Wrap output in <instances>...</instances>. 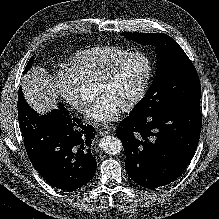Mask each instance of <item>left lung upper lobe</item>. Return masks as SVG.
<instances>
[{"label":"left lung upper lobe","mask_w":219,"mask_h":219,"mask_svg":"<svg viewBox=\"0 0 219 219\" xmlns=\"http://www.w3.org/2000/svg\"><path fill=\"white\" fill-rule=\"evenodd\" d=\"M128 39L154 45L160 66L144 98L130 115H155L200 101L201 86L197 71L179 44L163 33H123Z\"/></svg>","instance_id":"left-lung-upper-lobe-1"}]
</instances>
